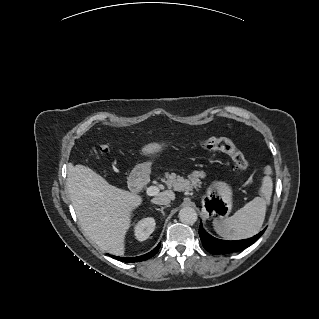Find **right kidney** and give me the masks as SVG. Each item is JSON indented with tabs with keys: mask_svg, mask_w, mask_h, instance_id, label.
I'll return each instance as SVG.
<instances>
[{
	"mask_svg": "<svg viewBox=\"0 0 319 319\" xmlns=\"http://www.w3.org/2000/svg\"><path fill=\"white\" fill-rule=\"evenodd\" d=\"M155 225V220L151 217H147L140 220L134 228L136 239H138L139 241H144L148 239L154 231Z\"/></svg>",
	"mask_w": 319,
	"mask_h": 319,
	"instance_id": "right-kidney-1",
	"label": "right kidney"
}]
</instances>
